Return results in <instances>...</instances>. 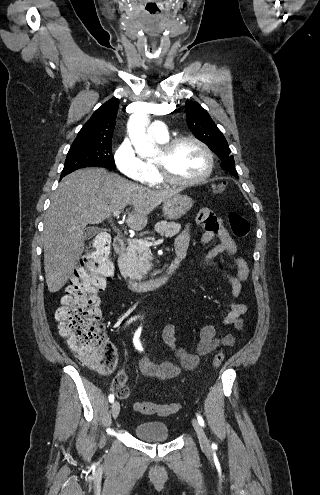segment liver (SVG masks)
<instances>
[{"mask_svg": "<svg viewBox=\"0 0 320 495\" xmlns=\"http://www.w3.org/2000/svg\"><path fill=\"white\" fill-rule=\"evenodd\" d=\"M178 190H151L101 168L77 170L62 179L45 214L44 270L49 292L59 291L73 274L84 250L88 224H99L132 206L126 224L141 231L148 215Z\"/></svg>", "mask_w": 320, "mask_h": 495, "instance_id": "obj_1", "label": "liver"}]
</instances>
